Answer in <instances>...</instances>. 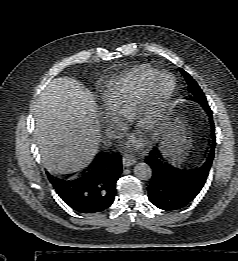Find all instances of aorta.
Wrapping results in <instances>:
<instances>
[{"label":"aorta","mask_w":238,"mask_h":261,"mask_svg":"<svg viewBox=\"0 0 238 261\" xmlns=\"http://www.w3.org/2000/svg\"><path fill=\"white\" fill-rule=\"evenodd\" d=\"M134 174L139 180H149L152 177V170L148 164L141 162L135 165Z\"/></svg>","instance_id":"762f6f07"}]
</instances>
